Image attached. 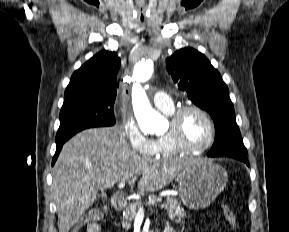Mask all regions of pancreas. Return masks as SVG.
I'll list each match as a JSON object with an SVG mask.
<instances>
[{
    "label": "pancreas",
    "instance_id": "1",
    "mask_svg": "<svg viewBox=\"0 0 289 232\" xmlns=\"http://www.w3.org/2000/svg\"><path fill=\"white\" fill-rule=\"evenodd\" d=\"M157 199L156 196H149L148 204L151 200ZM142 205L141 201H137L135 203H131L124 211V218L122 221V227L126 230L130 229L131 221L136 217L137 211ZM161 208H164L167 211L169 219L179 223L186 215L184 209L181 207V203L177 201V199L173 197H167L165 203H163Z\"/></svg>",
    "mask_w": 289,
    "mask_h": 232
}]
</instances>
